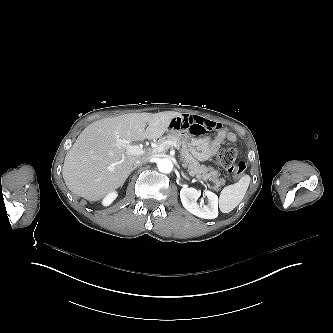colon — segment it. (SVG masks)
Masks as SVG:
<instances>
[{"label": "colon", "instance_id": "colon-1", "mask_svg": "<svg viewBox=\"0 0 333 333\" xmlns=\"http://www.w3.org/2000/svg\"><path fill=\"white\" fill-rule=\"evenodd\" d=\"M238 148L235 145H230L219 151L216 162L227 173L232 175H242L246 169L244 161L236 162Z\"/></svg>", "mask_w": 333, "mask_h": 333}]
</instances>
